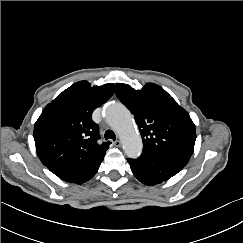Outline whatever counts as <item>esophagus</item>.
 Wrapping results in <instances>:
<instances>
[{
  "mask_svg": "<svg viewBox=\"0 0 243 243\" xmlns=\"http://www.w3.org/2000/svg\"><path fill=\"white\" fill-rule=\"evenodd\" d=\"M114 145H115L116 147H120V146H121V141H119V140L115 141V142H114Z\"/></svg>",
  "mask_w": 243,
  "mask_h": 243,
  "instance_id": "34e87169",
  "label": "esophagus"
}]
</instances>
